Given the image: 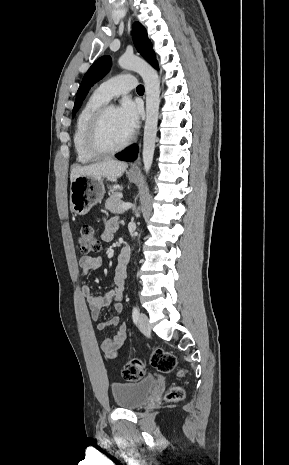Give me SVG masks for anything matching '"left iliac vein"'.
I'll use <instances>...</instances> for the list:
<instances>
[{"mask_svg": "<svg viewBox=\"0 0 289 465\" xmlns=\"http://www.w3.org/2000/svg\"><path fill=\"white\" fill-rule=\"evenodd\" d=\"M138 327L140 331L146 335L150 334L151 326L146 314L141 313L138 317Z\"/></svg>", "mask_w": 289, "mask_h": 465, "instance_id": "left-iliac-vein-1", "label": "left iliac vein"}]
</instances>
